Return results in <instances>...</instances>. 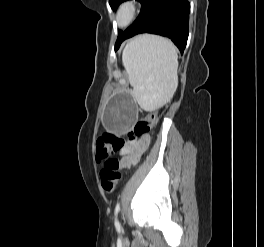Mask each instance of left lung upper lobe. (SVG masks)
Returning a JSON list of instances; mask_svg holds the SVG:
<instances>
[{
    "label": "left lung upper lobe",
    "mask_w": 264,
    "mask_h": 247,
    "mask_svg": "<svg viewBox=\"0 0 264 247\" xmlns=\"http://www.w3.org/2000/svg\"><path fill=\"white\" fill-rule=\"evenodd\" d=\"M126 0H109V4L111 6L112 9H116L118 7V5L122 2H124ZM141 4H143V2L145 0H138ZM122 31H119V34H118V38L122 35Z\"/></svg>",
    "instance_id": "5c2ea615"
}]
</instances>
